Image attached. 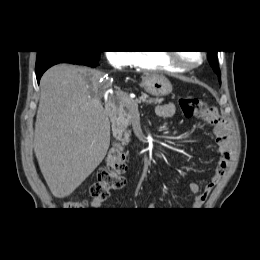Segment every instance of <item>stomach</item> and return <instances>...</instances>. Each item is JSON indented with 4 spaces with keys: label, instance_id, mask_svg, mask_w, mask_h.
Here are the masks:
<instances>
[{
    "label": "stomach",
    "instance_id": "obj_1",
    "mask_svg": "<svg viewBox=\"0 0 260 260\" xmlns=\"http://www.w3.org/2000/svg\"><path fill=\"white\" fill-rule=\"evenodd\" d=\"M141 86L147 93L157 97L166 96L172 92L171 82L163 75H145L142 78Z\"/></svg>",
    "mask_w": 260,
    "mask_h": 260
}]
</instances>
